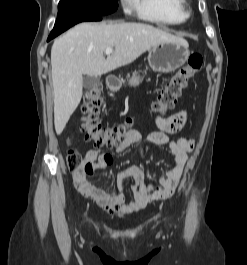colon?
<instances>
[{
    "label": "colon",
    "instance_id": "obj_1",
    "mask_svg": "<svg viewBox=\"0 0 247 265\" xmlns=\"http://www.w3.org/2000/svg\"><path fill=\"white\" fill-rule=\"evenodd\" d=\"M203 63L200 54H192L188 63L181 67L164 85L156 101L153 103V111L163 114L172 109L182 91L186 88L189 79L198 72ZM103 98L99 88L94 87L85 94L82 107L83 117L80 131L85 142H92L96 148L112 149L120 147L134 131L132 120L127 119L123 124L104 127L99 118V111ZM83 160L77 151H71L67 156L68 169L73 173L81 169ZM90 170L89 166L85 167Z\"/></svg>",
    "mask_w": 247,
    "mask_h": 265
}]
</instances>
